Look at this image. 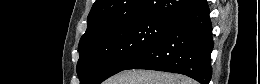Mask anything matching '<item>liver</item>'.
Here are the masks:
<instances>
[{"label": "liver", "instance_id": "1", "mask_svg": "<svg viewBox=\"0 0 260 84\" xmlns=\"http://www.w3.org/2000/svg\"><path fill=\"white\" fill-rule=\"evenodd\" d=\"M109 84H195L186 76L148 70H125L109 80Z\"/></svg>", "mask_w": 260, "mask_h": 84}]
</instances>
